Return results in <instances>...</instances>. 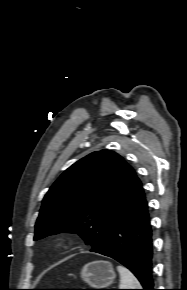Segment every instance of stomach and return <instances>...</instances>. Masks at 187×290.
Here are the masks:
<instances>
[{"label":"stomach","instance_id":"obj_1","mask_svg":"<svg viewBox=\"0 0 187 290\" xmlns=\"http://www.w3.org/2000/svg\"><path fill=\"white\" fill-rule=\"evenodd\" d=\"M116 277L113 266L108 261H92L84 265L81 278L94 289H105Z\"/></svg>","mask_w":187,"mask_h":290}]
</instances>
